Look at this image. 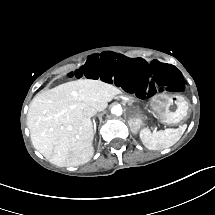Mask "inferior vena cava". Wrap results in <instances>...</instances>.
Returning a JSON list of instances; mask_svg holds the SVG:
<instances>
[{"label": "inferior vena cava", "mask_w": 215, "mask_h": 215, "mask_svg": "<svg viewBox=\"0 0 215 215\" xmlns=\"http://www.w3.org/2000/svg\"><path fill=\"white\" fill-rule=\"evenodd\" d=\"M83 114L86 117H92V116H94L96 114V110L92 106H87V107L84 108Z\"/></svg>", "instance_id": "1"}]
</instances>
